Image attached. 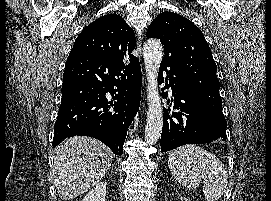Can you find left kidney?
<instances>
[{"instance_id":"obj_1","label":"left kidney","mask_w":271,"mask_h":201,"mask_svg":"<svg viewBox=\"0 0 271 201\" xmlns=\"http://www.w3.org/2000/svg\"><path fill=\"white\" fill-rule=\"evenodd\" d=\"M185 201H188L186 198H184ZM183 201V200H182Z\"/></svg>"}]
</instances>
